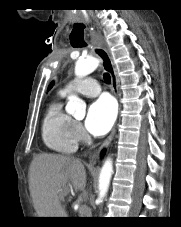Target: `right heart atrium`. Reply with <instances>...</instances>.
<instances>
[{"label":"right heart atrium","mask_w":181,"mask_h":227,"mask_svg":"<svg viewBox=\"0 0 181 227\" xmlns=\"http://www.w3.org/2000/svg\"><path fill=\"white\" fill-rule=\"evenodd\" d=\"M73 133L75 136V139L77 140V142H86L87 141V134L84 130V128L82 127L81 123L74 121L73 124Z\"/></svg>","instance_id":"obj_1"}]
</instances>
